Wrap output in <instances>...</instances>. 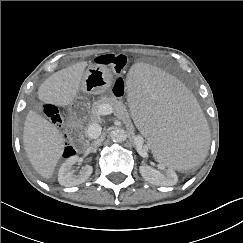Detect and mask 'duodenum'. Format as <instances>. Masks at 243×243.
<instances>
[{"label":"duodenum","instance_id":"duodenum-1","mask_svg":"<svg viewBox=\"0 0 243 243\" xmlns=\"http://www.w3.org/2000/svg\"><path fill=\"white\" fill-rule=\"evenodd\" d=\"M69 135L76 138L78 142L77 149H84L86 147V142L80 137V126L76 119H72L68 125Z\"/></svg>","mask_w":243,"mask_h":243}]
</instances>
